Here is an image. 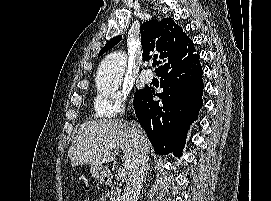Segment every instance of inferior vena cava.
Instances as JSON below:
<instances>
[{
    "mask_svg": "<svg viewBox=\"0 0 271 201\" xmlns=\"http://www.w3.org/2000/svg\"><path fill=\"white\" fill-rule=\"evenodd\" d=\"M130 125L137 154L133 160L121 201H138L142 183L148 168L149 142L147 135L138 122L131 121Z\"/></svg>",
    "mask_w": 271,
    "mask_h": 201,
    "instance_id": "inferior-vena-cava-1",
    "label": "inferior vena cava"
}]
</instances>
